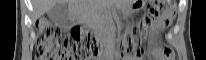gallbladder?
Wrapping results in <instances>:
<instances>
[{
  "label": "gallbladder",
  "instance_id": "bac80fb5",
  "mask_svg": "<svg viewBox=\"0 0 206 60\" xmlns=\"http://www.w3.org/2000/svg\"><path fill=\"white\" fill-rule=\"evenodd\" d=\"M47 14L54 24L61 26L65 25L69 17L67 3L64 1L59 2L50 11H48Z\"/></svg>",
  "mask_w": 206,
  "mask_h": 60
}]
</instances>
